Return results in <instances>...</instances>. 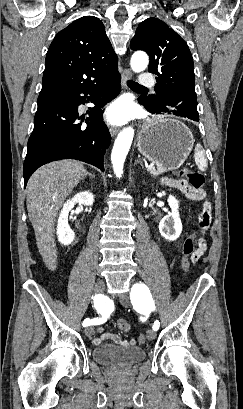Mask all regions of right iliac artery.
I'll use <instances>...</instances> for the list:
<instances>
[{"label":"right iliac artery","instance_id":"right-iliac-artery-1","mask_svg":"<svg viewBox=\"0 0 243 409\" xmlns=\"http://www.w3.org/2000/svg\"><path fill=\"white\" fill-rule=\"evenodd\" d=\"M93 298V297H92ZM94 306L95 308L98 310V312H101V314L103 313V309H102V302L100 299V295H96L94 298ZM104 321L102 320V318H95V319H85L82 323V325L84 327L90 326V325H95V324H101Z\"/></svg>","mask_w":243,"mask_h":409}]
</instances>
